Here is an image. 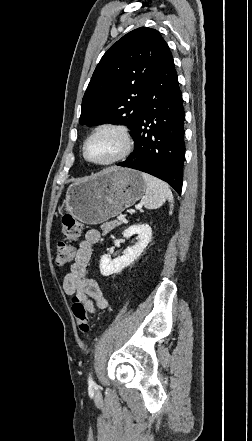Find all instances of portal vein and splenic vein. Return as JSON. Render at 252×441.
Here are the masks:
<instances>
[{
	"label": "portal vein and splenic vein",
	"instance_id": "portal-vein-and-splenic-vein-1",
	"mask_svg": "<svg viewBox=\"0 0 252 441\" xmlns=\"http://www.w3.org/2000/svg\"><path fill=\"white\" fill-rule=\"evenodd\" d=\"M117 219H118L119 221H122V220L125 219V216H124V215H120V216L117 217Z\"/></svg>",
	"mask_w": 252,
	"mask_h": 441
}]
</instances>
